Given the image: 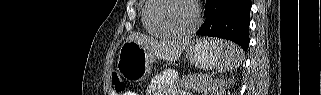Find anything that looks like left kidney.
<instances>
[{
  "label": "left kidney",
  "instance_id": "obj_1",
  "mask_svg": "<svg viewBox=\"0 0 321 95\" xmlns=\"http://www.w3.org/2000/svg\"><path fill=\"white\" fill-rule=\"evenodd\" d=\"M224 92H225V90H224V88L222 89V88H220V90L218 91V90H216L215 91V93L213 94V95H224Z\"/></svg>",
  "mask_w": 321,
  "mask_h": 95
}]
</instances>
